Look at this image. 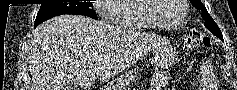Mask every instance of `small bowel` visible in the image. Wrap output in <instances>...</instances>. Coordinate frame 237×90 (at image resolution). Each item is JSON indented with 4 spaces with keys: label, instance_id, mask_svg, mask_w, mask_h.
I'll list each match as a JSON object with an SVG mask.
<instances>
[{
    "label": "small bowel",
    "instance_id": "1",
    "mask_svg": "<svg viewBox=\"0 0 237 90\" xmlns=\"http://www.w3.org/2000/svg\"><path fill=\"white\" fill-rule=\"evenodd\" d=\"M171 79L170 73L167 71H160L153 75L150 90H163ZM218 80L213 72L212 67L205 63L201 66V74L199 77V84L194 90H217Z\"/></svg>",
    "mask_w": 237,
    "mask_h": 90
}]
</instances>
